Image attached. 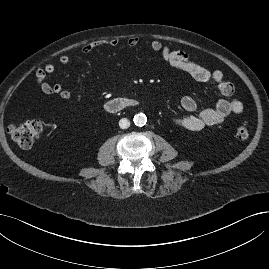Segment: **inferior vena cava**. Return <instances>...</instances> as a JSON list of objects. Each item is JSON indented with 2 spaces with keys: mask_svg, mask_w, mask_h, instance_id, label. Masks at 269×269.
<instances>
[{
  "mask_svg": "<svg viewBox=\"0 0 269 269\" xmlns=\"http://www.w3.org/2000/svg\"><path fill=\"white\" fill-rule=\"evenodd\" d=\"M119 126L121 129H127L130 126V121L126 118H122L119 121Z\"/></svg>",
  "mask_w": 269,
  "mask_h": 269,
  "instance_id": "1",
  "label": "inferior vena cava"
}]
</instances>
